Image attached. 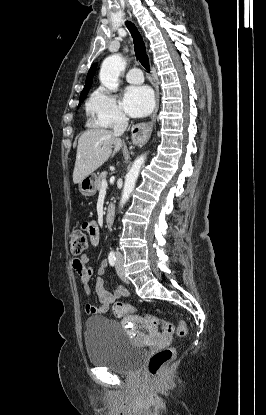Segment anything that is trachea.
<instances>
[{
  "instance_id": "3493384b",
  "label": "trachea",
  "mask_w": 266,
  "mask_h": 415,
  "mask_svg": "<svg viewBox=\"0 0 266 415\" xmlns=\"http://www.w3.org/2000/svg\"><path fill=\"white\" fill-rule=\"evenodd\" d=\"M126 26H127L128 30L130 31V33L132 35L135 55H136L137 59L139 60L141 65L147 71H149L150 70L149 58H148V55L146 53L145 43L143 41V38H142L140 32L138 31L137 27L131 22H126Z\"/></svg>"
}]
</instances>
